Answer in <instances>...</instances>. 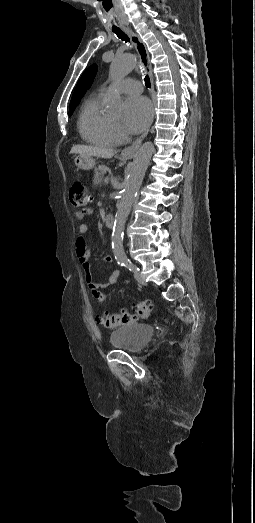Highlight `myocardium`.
Returning <instances> with one entry per match:
<instances>
[{
	"instance_id": "myocardium-1",
	"label": "myocardium",
	"mask_w": 255,
	"mask_h": 523,
	"mask_svg": "<svg viewBox=\"0 0 255 523\" xmlns=\"http://www.w3.org/2000/svg\"><path fill=\"white\" fill-rule=\"evenodd\" d=\"M113 123H114V127H115L118 138H120L121 140L126 139L127 136H126V133L124 132L121 124L118 121H114V120H113Z\"/></svg>"
}]
</instances>
